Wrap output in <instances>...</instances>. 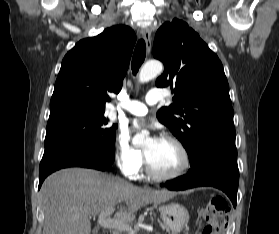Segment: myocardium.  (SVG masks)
I'll return each instance as SVG.
<instances>
[{"instance_id":"myocardium-1","label":"myocardium","mask_w":279,"mask_h":234,"mask_svg":"<svg viewBox=\"0 0 279 234\" xmlns=\"http://www.w3.org/2000/svg\"><path fill=\"white\" fill-rule=\"evenodd\" d=\"M161 139L165 140V141H169L172 142L174 145L177 146V148L179 149L181 155H182V164L179 167V169L172 173V174H160L157 173L151 166L147 153L144 150V162H145V169L146 172L148 174V176L150 178H152L153 180L156 181H160V182H170V181H174L177 180L179 178H181L182 176H184L186 174V172L188 171V169L190 168V164H191V159H190V154L188 149L186 148V146L184 145V143L177 137L172 136V135H164L163 137H161Z\"/></svg>"}]
</instances>
